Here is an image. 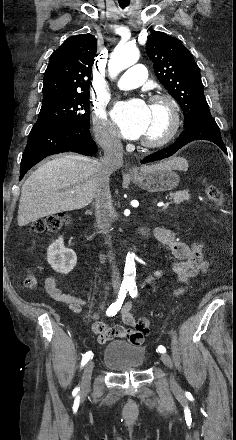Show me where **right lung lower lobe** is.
Wrapping results in <instances>:
<instances>
[{"label":"right lung lower lobe","instance_id":"98d812e1","mask_svg":"<svg viewBox=\"0 0 236 440\" xmlns=\"http://www.w3.org/2000/svg\"><path fill=\"white\" fill-rule=\"evenodd\" d=\"M68 151L87 156L97 152L89 128L54 123L35 124L29 133L22 156L20 180L32 166L45 157Z\"/></svg>","mask_w":236,"mask_h":440}]
</instances>
